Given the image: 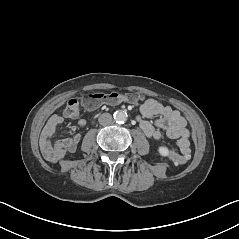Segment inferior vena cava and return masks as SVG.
I'll return each mask as SVG.
<instances>
[{
	"label": "inferior vena cava",
	"instance_id": "1",
	"mask_svg": "<svg viewBox=\"0 0 239 239\" xmlns=\"http://www.w3.org/2000/svg\"><path fill=\"white\" fill-rule=\"evenodd\" d=\"M98 121L101 125H109L112 122V116L109 113H103L99 116Z\"/></svg>",
	"mask_w": 239,
	"mask_h": 239
}]
</instances>
